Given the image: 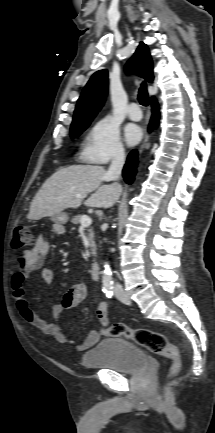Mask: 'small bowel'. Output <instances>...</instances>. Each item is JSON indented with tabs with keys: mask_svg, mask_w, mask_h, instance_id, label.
<instances>
[{
	"mask_svg": "<svg viewBox=\"0 0 215 433\" xmlns=\"http://www.w3.org/2000/svg\"><path fill=\"white\" fill-rule=\"evenodd\" d=\"M55 232L60 235L62 234V229H57ZM50 247V242L44 236H38L34 246L19 255L17 259L18 266L13 273L11 281L13 298L20 315L26 322L42 333L52 336L60 343H74L68 333L62 328L60 320L64 311L74 310L85 299L86 286L84 284L73 285L64 293L61 302L52 307L53 321L40 317L30 308L26 299L25 282L32 273L41 270L42 278L48 283L53 282L55 279L53 269L45 266V259L50 251ZM96 313L100 324L106 327L109 324L108 304L106 302L99 303ZM99 339L100 333L92 331L82 342L76 344V348L79 351H85L97 343Z\"/></svg>",
	"mask_w": 215,
	"mask_h": 433,
	"instance_id": "small-bowel-1",
	"label": "small bowel"
}]
</instances>
